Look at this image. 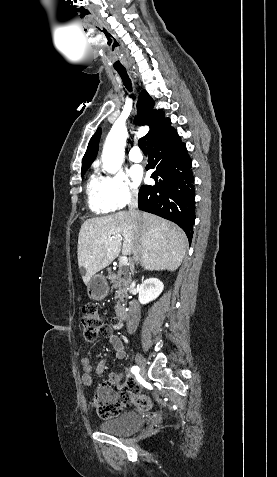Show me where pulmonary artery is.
<instances>
[{
	"mask_svg": "<svg viewBox=\"0 0 277 477\" xmlns=\"http://www.w3.org/2000/svg\"><path fill=\"white\" fill-rule=\"evenodd\" d=\"M129 157L134 162H141L143 160V155L138 147H133L130 150Z\"/></svg>",
	"mask_w": 277,
	"mask_h": 477,
	"instance_id": "e3ab8cb5",
	"label": "pulmonary artery"
}]
</instances>
